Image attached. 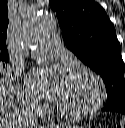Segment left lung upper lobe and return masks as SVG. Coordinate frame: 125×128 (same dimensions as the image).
Wrapping results in <instances>:
<instances>
[{"label":"left lung upper lobe","mask_w":125,"mask_h":128,"mask_svg":"<svg viewBox=\"0 0 125 128\" xmlns=\"http://www.w3.org/2000/svg\"><path fill=\"white\" fill-rule=\"evenodd\" d=\"M67 47L101 75L107 91L105 107L125 105L124 62L113 23L92 0H50Z\"/></svg>","instance_id":"left-lung-upper-lobe-1"}]
</instances>
